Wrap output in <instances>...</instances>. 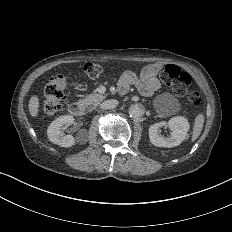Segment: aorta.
I'll list each match as a JSON object with an SVG mask.
<instances>
[{
	"instance_id": "aorta-1",
	"label": "aorta",
	"mask_w": 232,
	"mask_h": 232,
	"mask_svg": "<svg viewBox=\"0 0 232 232\" xmlns=\"http://www.w3.org/2000/svg\"><path fill=\"white\" fill-rule=\"evenodd\" d=\"M143 112V108L139 104H132L129 107V115L133 118L141 117Z\"/></svg>"
}]
</instances>
